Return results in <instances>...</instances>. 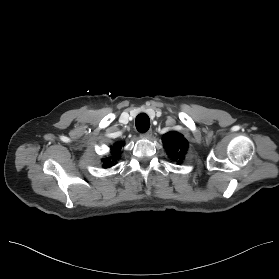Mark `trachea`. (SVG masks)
<instances>
[{
	"label": "trachea",
	"instance_id": "1",
	"mask_svg": "<svg viewBox=\"0 0 279 279\" xmlns=\"http://www.w3.org/2000/svg\"><path fill=\"white\" fill-rule=\"evenodd\" d=\"M136 128L139 132L141 133H144L146 132L149 127H150V120H149V117L144 114V113H141L139 114L137 117H136Z\"/></svg>",
	"mask_w": 279,
	"mask_h": 279
}]
</instances>
